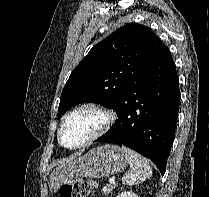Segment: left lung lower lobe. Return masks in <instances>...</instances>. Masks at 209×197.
I'll return each instance as SVG.
<instances>
[{
  "label": "left lung lower lobe",
  "mask_w": 209,
  "mask_h": 197,
  "mask_svg": "<svg viewBox=\"0 0 209 197\" xmlns=\"http://www.w3.org/2000/svg\"><path fill=\"white\" fill-rule=\"evenodd\" d=\"M179 103L175 63L164 46L115 109L117 122L96 142L125 145L152 160L163 175L174 141Z\"/></svg>",
  "instance_id": "0a47b994"
}]
</instances>
